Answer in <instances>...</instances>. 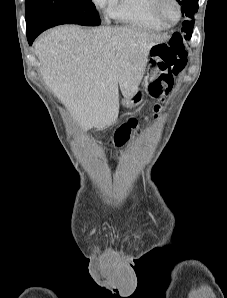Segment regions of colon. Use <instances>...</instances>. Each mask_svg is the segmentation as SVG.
I'll use <instances>...</instances> for the list:
<instances>
[{"label": "colon", "mask_w": 227, "mask_h": 298, "mask_svg": "<svg viewBox=\"0 0 227 298\" xmlns=\"http://www.w3.org/2000/svg\"><path fill=\"white\" fill-rule=\"evenodd\" d=\"M152 57L154 64L161 74L150 82L149 94L163 101L164 97L171 90L174 78L178 76L187 64V51L182 37L174 34L168 41L159 43L152 48ZM161 109L158 103L154 106V115ZM140 120L130 118L123 123L114 134V143L122 145L126 143L131 135L138 131Z\"/></svg>", "instance_id": "obj_1"}]
</instances>
